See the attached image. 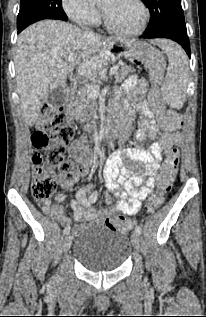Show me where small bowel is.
Masks as SVG:
<instances>
[{"label": "small bowel", "instance_id": "c3829d8e", "mask_svg": "<svg viewBox=\"0 0 206 317\" xmlns=\"http://www.w3.org/2000/svg\"><path fill=\"white\" fill-rule=\"evenodd\" d=\"M124 93L128 100L122 99V107L126 109V115L119 112V122L123 126L121 140L125 141L130 134L134 122L138 123L136 137L138 139H150L149 149L125 148L114 154L108 162L104 179L106 187L116 197L113 201L106 196L105 203L108 207L97 206L99 194L93 190V185L89 184L79 190L75 199L69 202L73 211L74 219L79 222L74 227L75 233H80L84 229L83 222L93 224H103L114 214L135 215L141 208L142 202L149 197L154 188V175L160 167L161 161L170 156L173 152H178L177 147L181 143V135L175 131H169L162 127L161 118L165 105L161 99L157 87L149 88L145 79H139L132 75L128 77L123 86ZM148 100H145V96ZM155 117L158 118L162 129L156 124ZM83 148L81 142H75L70 147L71 156H75L76 151ZM88 156V153L85 152ZM74 180L60 179L61 187L66 191H71ZM65 201L63 194H58L53 200L39 201L38 204L43 212L55 219L62 225H69L71 219L64 214V209L60 204Z\"/></svg>", "mask_w": 206, "mask_h": 317}]
</instances>
